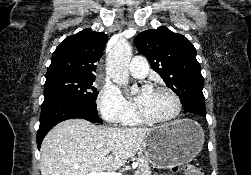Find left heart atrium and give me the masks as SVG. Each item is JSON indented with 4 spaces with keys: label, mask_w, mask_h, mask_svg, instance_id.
<instances>
[{
    "label": "left heart atrium",
    "mask_w": 251,
    "mask_h": 175,
    "mask_svg": "<svg viewBox=\"0 0 251 175\" xmlns=\"http://www.w3.org/2000/svg\"><path fill=\"white\" fill-rule=\"evenodd\" d=\"M152 92H153V89L150 86L144 87L142 90V100L143 101L149 100Z\"/></svg>",
    "instance_id": "obj_1"
}]
</instances>
